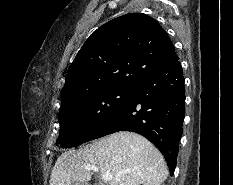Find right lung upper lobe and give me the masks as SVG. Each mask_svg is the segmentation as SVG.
<instances>
[{
  "label": "right lung upper lobe",
  "mask_w": 233,
  "mask_h": 185,
  "mask_svg": "<svg viewBox=\"0 0 233 185\" xmlns=\"http://www.w3.org/2000/svg\"><path fill=\"white\" fill-rule=\"evenodd\" d=\"M178 56L166 31L142 13H130L102 25L72 62L62 90V106L106 89H129Z\"/></svg>",
  "instance_id": "right-lung-upper-lobe-1"
}]
</instances>
